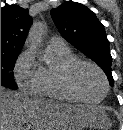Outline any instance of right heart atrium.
<instances>
[{
  "label": "right heart atrium",
  "mask_w": 123,
  "mask_h": 130,
  "mask_svg": "<svg viewBox=\"0 0 123 130\" xmlns=\"http://www.w3.org/2000/svg\"><path fill=\"white\" fill-rule=\"evenodd\" d=\"M14 75L22 91L29 94L36 93L41 77V65L31 49L24 50L17 58Z\"/></svg>",
  "instance_id": "1"
}]
</instances>
